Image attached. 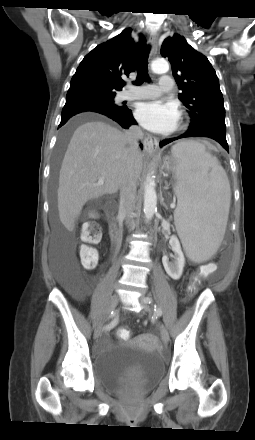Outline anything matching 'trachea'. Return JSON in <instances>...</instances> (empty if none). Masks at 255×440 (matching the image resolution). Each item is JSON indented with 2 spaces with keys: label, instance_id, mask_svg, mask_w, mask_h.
Returning <instances> with one entry per match:
<instances>
[{
  "label": "trachea",
  "instance_id": "trachea-1",
  "mask_svg": "<svg viewBox=\"0 0 255 440\" xmlns=\"http://www.w3.org/2000/svg\"><path fill=\"white\" fill-rule=\"evenodd\" d=\"M149 47H147L137 59V79L136 85H140L144 81H149L148 76V54Z\"/></svg>",
  "mask_w": 255,
  "mask_h": 440
}]
</instances>
